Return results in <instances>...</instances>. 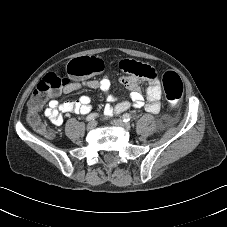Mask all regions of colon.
I'll return each instance as SVG.
<instances>
[{"instance_id":"5ec220e1","label":"colon","mask_w":227,"mask_h":227,"mask_svg":"<svg viewBox=\"0 0 227 227\" xmlns=\"http://www.w3.org/2000/svg\"><path fill=\"white\" fill-rule=\"evenodd\" d=\"M103 68L104 65L100 59L95 56H85L73 59L66 64V76L57 72L45 75L36 85L28 101V121L30 125L37 132L46 137H51L50 129L39 117V111L45 101L56 96L58 91L66 87L69 84V77L84 79L99 74ZM127 70L148 80L156 76V72L151 66L135 60L128 61ZM162 83L166 101L169 105L176 106L183 96V83L180 76L173 71H167L162 76Z\"/></svg>"}]
</instances>
